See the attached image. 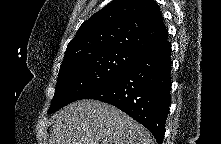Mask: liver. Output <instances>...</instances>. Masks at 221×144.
<instances>
[{"mask_svg":"<svg viewBox=\"0 0 221 144\" xmlns=\"http://www.w3.org/2000/svg\"><path fill=\"white\" fill-rule=\"evenodd\" d=\"M50 144H154L150 132L113 105L79 100L52 116Z\"/></svg>","mask_w":221,"mask_h":144,"instance_id":"1","label":"liver"}]
</instances>
